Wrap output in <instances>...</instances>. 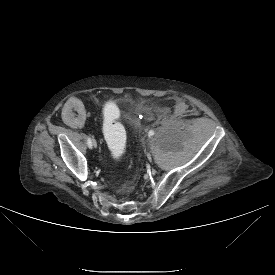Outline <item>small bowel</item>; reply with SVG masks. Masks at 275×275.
<instances>
[{"label":"small bowel","mask_w":275,"mask_h":275,"mask_svg":"<svg viewBox=\"0 0 275 275\" xmlns=\"http://www.w3.org/2000/svg\"><path fill=\"white\" fill-rule=\"evenodd\" d=\"M84 108V102L80 98H70L63 104L61 113L62 120L67 125L73 126L75 128L82 127L86 118V115L83 112Z\"/></svg>","instance_id":"c3829d8e"}]
</instances>
